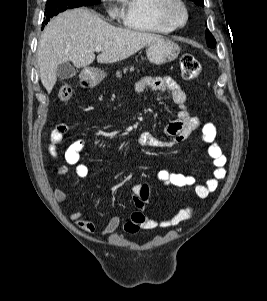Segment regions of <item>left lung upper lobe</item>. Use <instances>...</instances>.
<instances>
[{
	"mask_svg": "<svg viewBox=\"0 0 267 301\" xmlns=\"http://www.w3.org/2000/svg\"><path fill=\"white\" fill-rule=\"evenodd\" d=\"M192 1L195 4H197L198 6L204 5L203 0H192ZM206 42H207L208 47H210V48H214L216 46V41L208 29L206 30Z\"/></svg>",
	"mask_w": 267,
	"mask_h": 301,
	"instance_id": "1",
	"label": "left lung upper lobe"
}]
</instances>
